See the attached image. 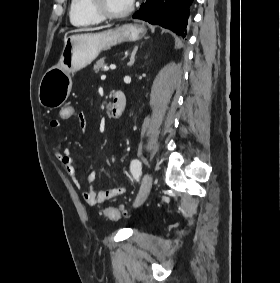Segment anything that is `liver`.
Here are the masks:
<instances>
[{
	"instance_id": "6515ba94",
	"label": "liver",
	"mask_w": 280,
	"mask_h": 283,
	"mask_svg": "<svg viewBox=\"0 0 280 283\" xmlns=\"http://www.w3.org/2000/svg\"><path fill=\"white\" fill-rule=\"evenodd\" d=\"M106 27H110V26H101V27H93V28H81V29H76V30H73V32H83V31H96V30H100V29H103V28H106ZM66 36L64 38V40H66Z\"/></svg>"
}]
</instances>
